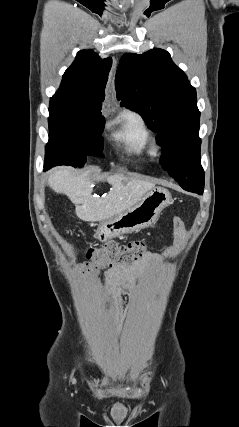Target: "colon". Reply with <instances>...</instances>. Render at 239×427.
Masks as SVG:
<instances>
[{
    "instance_id": "obj_1",
    "label": "colon",
    "mask_w": 239,
    "mask_h": 427,
    "mask_svg": "<svg viewBox=\"0 0 239 427\" xmlns=\"http://www.w3.org/2000/svg\"><path fill=\"white\" fill-rule=\"evenodd\" d=\"M147 253L148 244L145 239L132 240L125 244L108 242L102 247H94L88 251L86 269L93 272L117 265L128 266L142 259Z\"/></svg>"
}]
</instances>
